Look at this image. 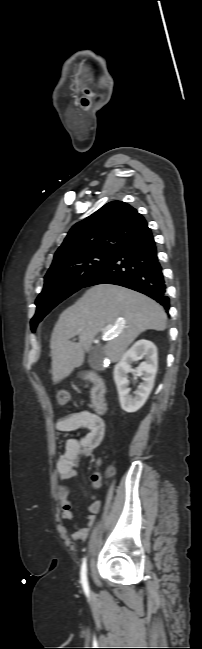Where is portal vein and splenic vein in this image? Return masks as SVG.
Segmentation results:
<instances>
[{
    "label": "portal vein and splenic vein",
    "mask_w": 202,
    "mask_h": 649,
    "mask_svg": "<svg viewBox=\"0 0 202 649\" xmlns=\"http://www.w3.org/2000/svg\"><path fill=\"white\" fill-rule=\"evenodd\" d=\"M112 333H113V330H111V329H110V326H108V327L106 328V330L103 331V333H102V339H103V340H108L109 336H111Z\"/></svg>",
    "instance_id": "obj_1"
}]
</instances>
